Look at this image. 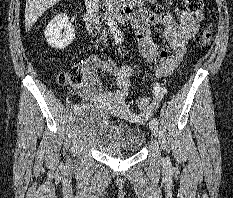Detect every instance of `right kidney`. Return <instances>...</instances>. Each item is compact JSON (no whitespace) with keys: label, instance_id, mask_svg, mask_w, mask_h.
Listing matches in <instances>:
<instances>
[{"label":"right kidney","instance_id":"1","mask_svg":"<svg viewBox=\"0 0 233 198\" xmlns=\"http://www.w3.org/2000/svg\"><path fill=\"white\" fill-rule=\"evenodd\" d=\"M45 37L47 43L55 49H64L70 45L75 38V29L69 22V17L59 14L52 19L46 27Z\"/></svg>","mask_w":233,"mask_h":198}]
</instances>
